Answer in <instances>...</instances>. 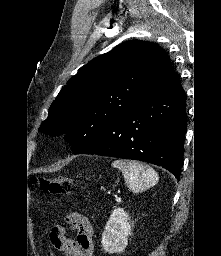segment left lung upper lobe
Returning <instances> with one entry per match:
<instances>
[{"label":"left lung upper lobe","mask_w":221,"mask_h":256,"mask_svg":"<svg viewBox=\"0 0 221 256\" xmlns=\"http://www.w3.org/2000/svg\"><path fill=\"white\" fill-rule=\"evenodd\" d=\"M174 75L170 59L158 45L122 43L78 70L53 101L39 130L65 134L76 151Z\"/></svg>","instance_id":"obj_1"}]
</instances>
